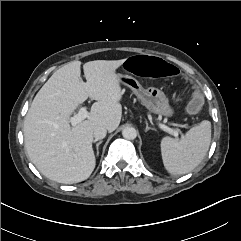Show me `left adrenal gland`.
<instances>
[{"instance_id": "a2214340", "label": "left adrenal gland", "mask_w": 241, "mask_h": 241, "mask_svg": "<svg viewBox=\"0 0 241 241\" xmlns=\"http://www.w3.org/2000/svg\"><path fill=\"white\" fill-rule=\"evenodd\" d=\"M149 130H155V129L152 128V127H149V126H148V123H147V121H146V128H145V131L147 132V131H149Z\"/></svg>"}]
</instances>
